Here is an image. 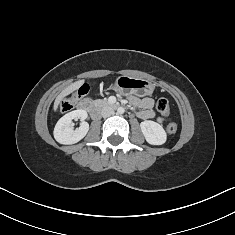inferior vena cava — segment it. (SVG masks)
<instances>
[{"instance_id":"1","label":"inferior vena cava","mask_w":235,"mask_h":235,"mask_svg":"<svg viewBox=\"0 0 235 235\" xmlns=\"http://www.w3.org/2000/svg\"><path fill=\"white\" fill-rule=\"evenodd\" d=\"M114 113L113 109L110 106H105L101 110V115L106 118L111 116Z\"/></svg>"}]
</instances>
